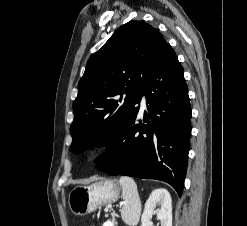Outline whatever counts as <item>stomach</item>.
<instances>
[{"label":"stomach","mask_w":247,"mask_h":226,"mask_svg":"<svg viewBox=\"0 0 247 226\" xmlns=\"http://www.w3.org/2000/svg\"><path fill=\"white\" fill-rule=\"evenodd\" d=\"M120 191L121 188L115 180L102 179L88 186L73 188L68 197V204L75 215L83 216L117 201Z\"/></svg>","instance_id":"0dacf381"}]
</instances>
